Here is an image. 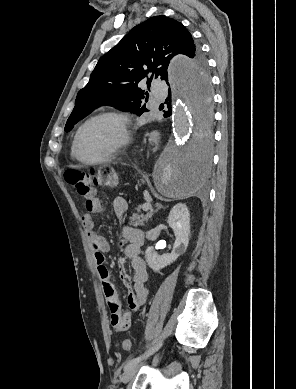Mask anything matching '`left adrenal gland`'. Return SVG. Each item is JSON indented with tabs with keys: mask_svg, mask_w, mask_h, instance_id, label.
Instances as JSON below:
<instances>
[{
	"mask_svg": "<svg viewBox=\"0 0 296 389\" xmlns=\"http://www.w3.org/2000/svg\"><path fill=\"white\" fill-rule=\"evenodd\" d=\"M155 206L157 207V210L155 212H157L159 209L163 208V206L160 203H156Z\"/></svg>",
	"mask_w": 296,
	"mask_h": 389,
	"instance_id": "obj_1",
	"label": "left adrenal gland"
}]
</instances>
